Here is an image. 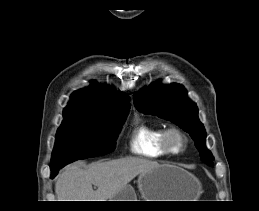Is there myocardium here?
<instances>
[{
    "label": "myocardium",
    "mask_w": 259,
    "mask_h": 211,
    "mask_svg": "<svg viewBox=\"0 0 259 211\" xmlns=\"http://www.w3.org/2000/svg\"><path fill=\"white\" fill-rule=\"evenodd\" d=\"M162 142L168 154L178 155L185 150L187 137L181 129L169 127L164 131Z\"/></svg>",
    "instance_id": "obj_1"
}]
</instances>
